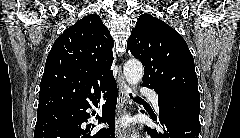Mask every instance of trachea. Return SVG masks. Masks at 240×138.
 <instances>
[{
	"mask_svg": "<svg viewBox=\"0 0 240 138\" xmlns=\"http://www.w3.org/2000/svg\"><path fill=\"white\" fill-rule=\"evenodd\" d=\"M130 96H131V94H130ZM135 99H136V100H141V98H140V97H136Z\"/></svg>",
	"mask_w": 240,
	"mask_h": 138,
	"instance_id": "trachea-1",
	"label": "trachea"
}]
</instances>
